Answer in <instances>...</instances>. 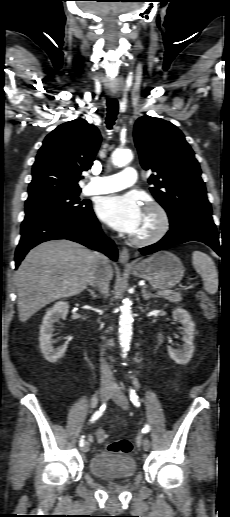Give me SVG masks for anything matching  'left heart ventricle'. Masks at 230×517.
Listing matches in <instances>:
<instances>
[{"mask_svg":"<svg viewBox=\"0 0 230 517\" xmlns=\"http://www.w3.org/2000/svg\"><path fill=\"white\" fill-rule=\"evenodd\" d=\"M156 224L157 218L155 214L152 211L144 210L140 226L133 235L142 236L149 234L154 230Z\"/></svg>","mask_w":230,"mask_h":517,"instance_id":"1","label":"left heart ventricle"}]
</instances>
